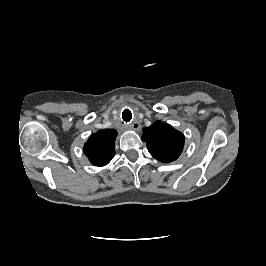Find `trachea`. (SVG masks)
Here are the masks:
<instances>
[{"mask_svg": "<svg viewBox=\"0 0 266 266\" xmlns=\"http://www.w3.org/2000/svg\"><path fill=\"white\" fill-rule=\"evenodd\" d=\"M122 119L125 121V122H130V120L132 119V113L129 109H125L123 112H122Z\"/></svg>", "mask_w": 266, "mask_h": 266, "instance_id": "3493384b", "label": "trachea"}]
</instances>
